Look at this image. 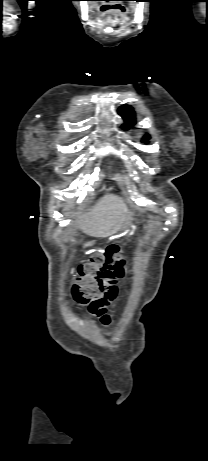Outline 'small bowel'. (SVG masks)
Returning <instances> with one entry per match:
<instances>
[{"mask_svg":"<svg viewBox=\"0 0 208 461\" xmlns=\"http://www.w3.org/2000/svg\"><path fill=\"white\" fill-rule=\"evenodd\" d=\"M117 287L116 280L106 283L103 293L90 306V313L95 316L103 326L112 324V317L107 312V306L116 299Z\"/></svg>","mask_w":208,"mask_h":461,"instance_id":"1","label":"small bowel"}]
</instances>
